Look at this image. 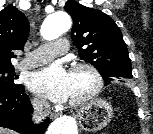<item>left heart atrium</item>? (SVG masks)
Returning <instances> with one entry per match:
<instances>
[{
  "instance_id": "1",
  "label": "left heart atrium",
  "mask_w": 153,
  "mask_h": 134,
  "mask_svg": "<svg viewBox=\"0 0 153 134\" xmlns=\"http://www.w3.org/2000/svg\"><path fill=\"white\" fill-rule=\"evenodd\" d=\"M28 86L34 93L53 102H64L70 96V73L62 65L55 63L33 72L29 77Z\"/></svg>"
}]
</instances>
